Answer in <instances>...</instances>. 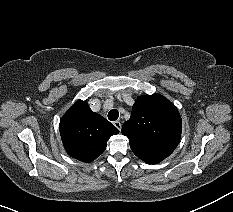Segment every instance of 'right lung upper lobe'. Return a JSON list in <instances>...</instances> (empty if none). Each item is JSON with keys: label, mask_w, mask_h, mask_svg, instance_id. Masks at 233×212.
<instances>
[{"label": "right lung upper lobe", "mask_w": 233, "mask_h": 212, "mask_svg": "<svg viewBox=\"0 0 233 212\" xmlns=\"http://www.w3.org/2000/svg\"><path fill=\"white\" fill-rule=\"evenodd\" d=\"M119 130L93 112L86 101L78 100L60 121V134L66 152L83 162H91L106 148L108 139Z\"/></svg>", "instance_id": "1"}]
</instances>
